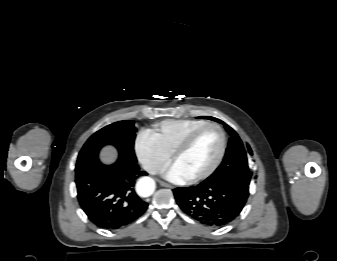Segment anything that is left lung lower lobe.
I'll use <instances>...</instances> for the list:
<instances>
[{"label": "left lung lower lobe", "mask_w": 337, "mask_h": 261, "mask_svg": "<svg viewBox=\"0 0 337 261\" xmlns=\"http://www.w3.org/2000/svg\"><path fill=\"white\" fill-rule=\"evenodd\" d=\"M173 192L185 214L211 227H222L232 222L248 198L233 186L222 182L203 181L197 186L176 188Z\"/></svg>", "instance_id": "obj_1"}]
</instances>
